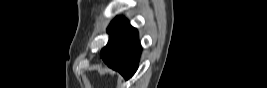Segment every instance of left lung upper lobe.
I'll return each mask as SVG.
<instances>
[{
    "label": "left lung upper lobe",
    "instance_id": "1",
    "mask_svg": "<svg viewBox=\"0 0 267 88\" xmlns=\"http://www.w3.org/2000/svg\"><path fill=\"white\" fill-rule=\"evenodd\" d=\"M122 20L121 17H116V19L110 24V26L107 29V32L109 33L112 29L115 28V26Z\"/></svg>",
    "mask_w": 267,
    "mask_h": 88
}]
</instances>
